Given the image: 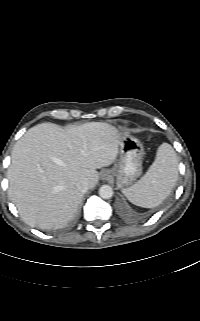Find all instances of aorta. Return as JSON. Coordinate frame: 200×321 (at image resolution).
I'll return each instance as SVG.
<instances>
[{"instance_id":"762f6f07","label":"aorta","mask_w":200,"mask_h":321,"mask_svg":"<svg viewBox=\"0 0 200 321\" xmlns=\"http://www.w3.org/2000/svg\"><path fill=\"white\" fill-rule=\"evenodd\" d=\"M99 195L103 199H110L113 196V189L109 185H102L99 189Z\"/></svg>"}]
</instances>
